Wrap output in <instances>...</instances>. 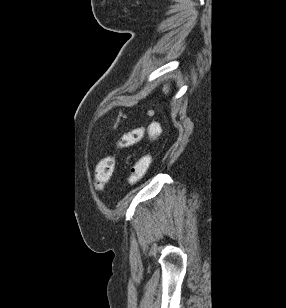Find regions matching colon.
Segmentation results:
<instances>
[{"instance_id": "1", "label": "colon", "mask_w": 286, "mask_h": 308, "mask_svg": "<svg viewBox=\"0 0 286 308\" xmlns=\"http://www.w3.org/2000/svg\"><path fill=\"white\" fill-rule=\"evenodd\" d=\"M159 133V124L152 126L150 132L148 127H137L125 134L117 142L118 148H127L139 143L145 134ZM116 158L114 155H107L100 160L97 165L95 172V179L98 188H104L111 180L113 171L115 168ZM151 163V155L149 153L142 154L133 163L128 178L127 184L129 186L136 185L139 183L146 175Z\"/></svg>"}]
</instances>
